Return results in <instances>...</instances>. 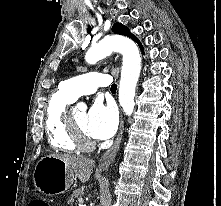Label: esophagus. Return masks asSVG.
Wrapping results in <instances>:
<instances>
[{"label":"esophagus","instance_id":"esophagus-1","mask_svg":"<svg viewBox=\"0 0 221 206\" xmlns=\"http://www.w3.org/2000/svg\"><path fill=\"white\" fill-rule=\"evenodd\" d=\"M123 129H124V120L123 116H121L120 128L117 138L114 144L112 145V147L108 149L99 160L98 168L100 170L107 169L110 166V164L113 162L115 156L117 155L122 140Z\"/></svg>","mask_w":221,"mask_h":206}]
</instances>
